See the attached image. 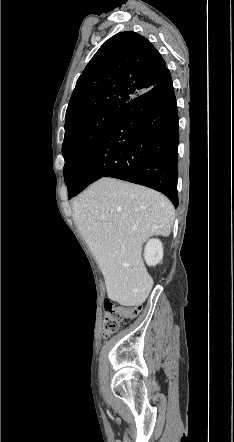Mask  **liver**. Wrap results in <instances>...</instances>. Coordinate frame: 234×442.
<instances>
[{
	"instance_id": "1",
	"label": "liver",
	"mask_w": 234,
	"mask_h": 442,
	"mask_svg": "<svg viewBox=\"0 0 234 442\" xmlns=\"http://www.w3.org/2000/svg\"><path fill=\"white\" fill-rule=\"evenodd\" d=\"M175 219L161 193L113 178L93 183L73 202V220L105 280L108 297L123 306L144 303L152 287L142 245L153 235L167 237Z\"/></svg>"
}]
</instances>
